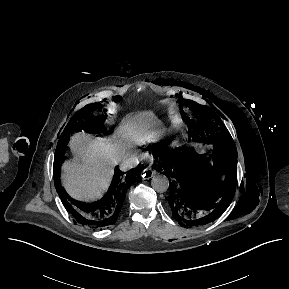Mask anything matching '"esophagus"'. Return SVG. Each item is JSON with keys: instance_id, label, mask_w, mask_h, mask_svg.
Listing matches in <instances>:
<instances>
[{"instance_id": "1", "label": "esophagus", "mask_w": 289, "mask_h": 289, "mask_svg": "<svg viewBox=\"0 0 289 289\" xmlns=\"http://www.w3.org/2000/svg\"><path fill=\"white\" fill-rule=\"evenodd\" d=\"M156 171L154 168L152 167H147L145 170H144V174H143V178L145 180H148L150 178H152L154 175H155Z\"/></svg>"}]
</instances>
